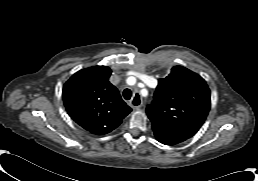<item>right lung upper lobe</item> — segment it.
I'll use <instances>...</instances> for the list:
<instances>
[{
	"mask_svg": "<svg viewBox=\"0 0 258 181\" xmlns=\"http://www.w3.org/2000/svg\"><path fill=\"white\" fill-rule=\"evenodd\" d=\"M111 70L95 66L75 73L63 87V101L71 118L94 134L115 129L131 108L109 82Z\"/></svg>",
	"mask_w": 258,
	"mask_h": 181,
	"instance_id": "right-lung-upper-lobe-1",
	"label": "right lung upper lobe"
}]
</instances>
